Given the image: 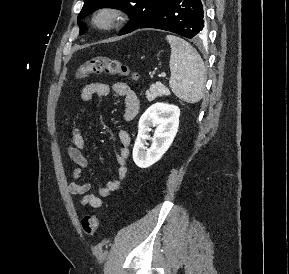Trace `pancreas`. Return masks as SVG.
Wrapping results in <instances>:
<instances>
[{
  "label": "pancreas",
  "instance_id": "pancreas-1",
  "mask_svg": "<svg viewBox=\"0 0 289 274\" xmlns=\"http://www.w3.org/2000/svg\"><path fill=\"white\" fill-rule=\"evenodd\" d=\"M170 95L169 89L160 82L152 84L150 89L146 91V99L151 102L158 96Z\"/></svg>",
  "mask_w": 289,
  "mask_h": 274
}]
</instances>
